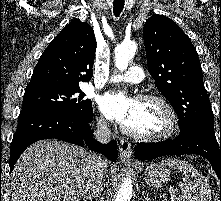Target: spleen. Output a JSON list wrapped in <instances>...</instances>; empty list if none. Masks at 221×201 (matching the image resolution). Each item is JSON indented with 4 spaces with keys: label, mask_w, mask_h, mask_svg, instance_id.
Segmentation results:
<instances>
[{
    "label": "spleen",
    "mask_w": 221,
    "mask_h": 201,
    "mask_svg": "<svg viewBox=\"0 0 221 201\" xmlns=\"http://www.w3.org/2000/svg\"><path fill=\"white\" fill-rule=\"evenodd\" d=\"M163 165L177 169L184 175L183 182L179 183L181 193L175 196V191L171 190L172 201H211V190L200 172L191 164L185 161L169 158L161 162Z\"/></svg>",
    "instance_id": "spleen-1"
}]
</instances>
